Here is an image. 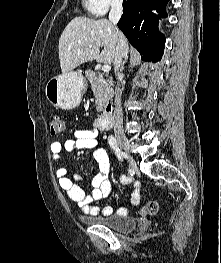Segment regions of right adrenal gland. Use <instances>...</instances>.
I'll return each mask as SVG.
<instances>
[{
    "label": "right adrenal gland",
    "instance_id": "obj_1",
    "mask_svg": "<svg viewBox=\"0 0 221 263\" xmlns=\"http://www.w3.org/2000/svg\"><path fill=\"white\" fill-rule=\"evenodd\" d=\"M127 63V58H125L122 62V65H121V70L123 71L124 70V66L125 64Z\"/></svg>",
    "mask_w": 221,
    "mask_h": 263
}]
</instances>
